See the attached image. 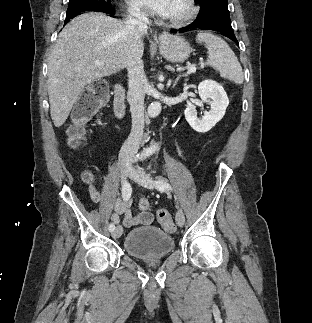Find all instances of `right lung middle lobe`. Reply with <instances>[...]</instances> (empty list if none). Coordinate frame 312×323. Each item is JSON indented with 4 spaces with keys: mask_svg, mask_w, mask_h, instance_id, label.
<instances>
[{
    "mask_svg": "<svg viewBox=\"0 0 312 323\" xmlns=\"http://www.w3.org/2000/svg\"><path fill=\"white\" fill-rule=\"evenodd\" d=\"M112 9L111 0H69L66 18L87 10Z\"/></svg>",
    "mask_w": 312,
    "mask_h": 323,
    "instance_id": "right-lung-middle-lobe-1",
    "label": "right lung middle lobe"
}]
</instances>
